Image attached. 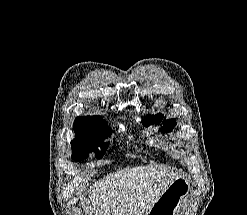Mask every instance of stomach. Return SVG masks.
<instances>
[{
  "label": "stomach",
  "mask_w": 247,
  "mask_h": 215,
  "mask_svg": "<svg viewBox=\"0 0 247 215\" xmlns=\"http://www.w3.org/2000/svg\"><path fill=\"white\" fill-rule=\"evenodd\" d=\"M191 192L189 181L182 177L175 178L157 198L145 215H179L182 203Z\"/></svg>",
  "instance_id": "stomach-1"
}]
</instances>
